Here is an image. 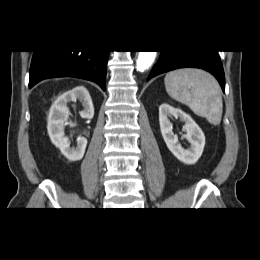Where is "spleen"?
I'll return each mask as SVG.
<instances>
[{"instance_id": "1", "label": "spleen", "mask_w": 260, "mask_h": 260, "mask_svg": "<svg viewBox=\"0 0 260 260\" xmlns=\"http://www.w3.org/2000/svg\"><path fill=\"white\" fill-rule=\"evenodd\" d=\"M168 95L187 105L196 115L217 126L222 118L221 88L216 79L200 69H178L166 74Z\"/></svg>"}]
</instances>
